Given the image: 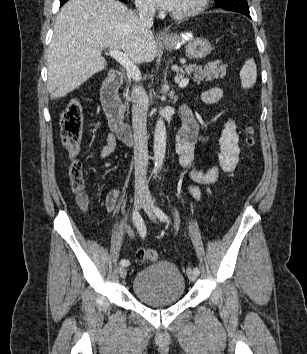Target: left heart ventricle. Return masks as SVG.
<instances>
[{"label": "left heart ventricle", "mask_w": 307, "mask_h": 354, "mask_svg": "<svg viewBox=\"0 0 307 354\" xmlns=\"http://www.w3.org/2000/svg\"><path fill=\"white\" fill-rule=\"evenodd\" d=\"M196 0H177L173 12H183L194 5Z\"/></svg>", "instance_id": "b2bd125f"}]
</instances>
